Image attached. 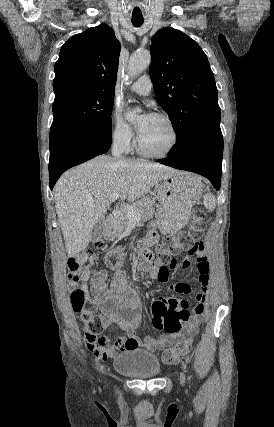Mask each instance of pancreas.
I'll return each instance as SVG.
<instances>
[{
    "label": "pancreas",
    "instance_id": "1",
    "mask_svg": "<svg viewBox=\"0 0 274 427\" xmlns=\"http://www.w3.org/2000/svg\"><path fill=\"white\" fill-rule=\"evenodd\" d=\"M155 198H150V196H146V198H141V200H137V202H133L131 206H133L134 210L139 212L142 221H147V219H152L155 214ZM129 217L126 215V212L120 210L117 212L113 219H110L109 225H106L105 229V237L106 239H116L118 235L124 233L126 227H128Z\"/></svg>",
    "mask_w": 274,
    "mask_h": 427
}]
</instances>
